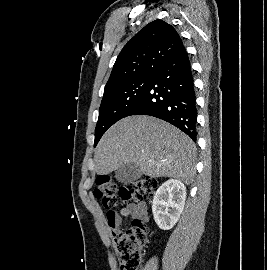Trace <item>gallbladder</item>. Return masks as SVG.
<instances>
[{
  "instance_id": "bac80fb5",
  "label": "gallbladder",
  "mask_w": 267,
  "mask_h": 270,
  "mask_svg": "<svg viewBox=\"0 0 267 270\" xmlns=\"http://www.w3.org/2000/svg\"><path fill=\"white\" fill-rule=\"evenodd\" d=\"M142 176L139 167L135 163L126 164L115 172V178L121 183H131Z\"/></svg>"
}]
</instances>
